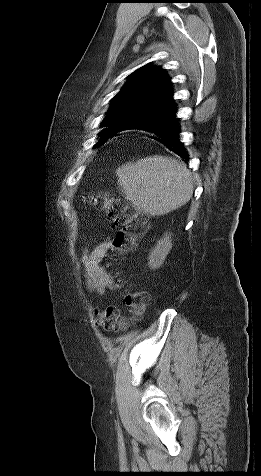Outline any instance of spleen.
Instances as JSON below:
<instances>
[{
    "instance_id": "3e777b00",
    "label": "spleen",
    "mask_w": 261,
    "mask_h": 476,
    "mask_svg": "<svg viewBox=\"0 0 261 476\" xmlns=\"http://www.w3.org/2000/svg\"><path fill=\"white\" fill-rule=\"evenodd\" d=\"M121 191L134 207L151 216L185 205L193 194L192 174L176 159L154 155L116 170Z\"/></svg>"
}]
</instances>
